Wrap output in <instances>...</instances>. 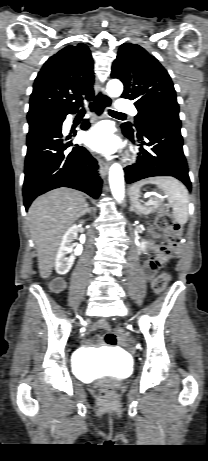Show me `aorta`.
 <instances>
[{
  "label": "aorta",
  "instance_id": "aorta-1",
  "mask_svg": "<svg viewBox=\"0 0 208 461\" xmlns=\"http://www.w3.org/2000/svg\"><path fill=\"white\" fill-rule=\"evenodd\" d=\"M123 92V85L117 79H112L107 83V93L112 98L119 97ZM109 184L113 197L121 202L124 199V172L119 163H114L109 169Z\"/></svg>",
  "mask_w": 208,
  "mask_h": 461
}]
</instances>
